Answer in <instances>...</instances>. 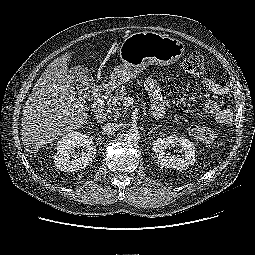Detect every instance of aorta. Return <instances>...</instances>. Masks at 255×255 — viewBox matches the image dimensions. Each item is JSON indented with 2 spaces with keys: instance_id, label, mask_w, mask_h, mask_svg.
<instances>
[{
  "instance_id": "762f6f07",
  "label": "aorta",
  "mask_w": 255,
  "mask_h": 255,
  "mask_svg": "<svg viewBox=\"0 0 255 255\" xmlns=\"http://www.w3.org/2000/svg\"><path fill=\"white\" fill-rule=\"evenodd\" d=\"M140 139V134L137 129H129L124 135V141L127 144H137Z\"/></svg>"
}]
</instances>
